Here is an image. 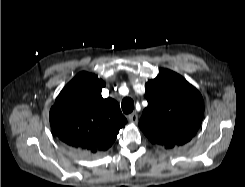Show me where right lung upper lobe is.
<instances>
[{"mask_svg": "<svg viewBox=\"0 0 245 187\" xmlns=\"http://www.w3.org/2000/svg\"><path fill=\"white\" fill-rule=\"evenodd\" d=\"M104 86V81L96 75L81 72L56 98L50 110V123L55 134L69 147L90 154L104 152L126 125L118 103L102 98Z\"/></svg>", "mask_w": 245, "mask_h": 187, "instance_id": "obj_1", "label": "right lung upper lobe"}]
</instances>
